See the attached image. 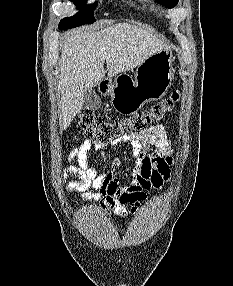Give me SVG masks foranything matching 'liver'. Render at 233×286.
I'll list each match as a JSON object with an SVG mask.
<instances>
[{
	"label": "liver",
	"mask_w": 233,
	"mask_h": 286,
	"mask_svg": "<svg viewBox=\"0 0 233 286\" xmlns=\"http://www.w3.org/2000/svg\"><path fill=\"white\" fill-rule=\"evenodd\" d=\"M168 49L151 33L129 23H118L97 32L77 29L62 46L59 61L60 130H65L83 106V94L99 84L106 61L108 77L139 66L153 53Z\"/></svg>",
	"instance_id": "6515ba94"
}]
</instances>
